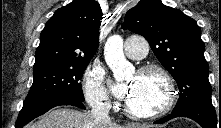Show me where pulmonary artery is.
<instances>
[{
    "label": "pulmonary artery",
    "mask_w": 221,
    "mask_h": 128,
    "mask_svg": "<svg viewBox=\"0 0 221 128\" xmlns=\"http://www.w3.org/2000/svg\"><path fill=\"white\" fill-rule=\"evenodd\" d=\"M125 53L131 59L144 57L148 50L147 40L139 35H131L125 41Z\"/></svg>",
    "instance_id": "e3ab8cb5"
}]
</instances>
